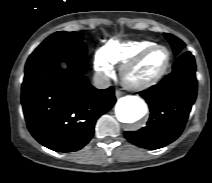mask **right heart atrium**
Returning <instances> with one entry per match:
<instances>
[{
    "label": "right heart atrium",
    "instance_id": "right-heart-atrium-1",
    "mask_svg": "<svg viewBox=\"0 0 212 183\" xmlns=\"http://www.w3.org/2000/svg\"><path fill=\"white\" fill-rule=\"evenodd\" d=\"M94 67L99 76L102 78H108L113 74V69L106 58L102 49L98 50L94 56Z\"/></svg>",
    "mask_w": 212,
    "mask_h": 183
}]
</instances>
